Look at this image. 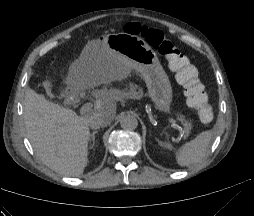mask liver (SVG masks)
<instances>
[{
  "label": "liver",
  "mask_w": 254,
  "mask_h": 216,
  "mask_svg": "<svg viewBox=\"0 0 254 216\" xmlns=\"http://www.w3.org/2000/svg\"><path fill=\"white\" fill-rule=\"evenodd\" d=\"M86 47L80 58L85 54ZM131 69L121 56H112L104 66L93 69H69L67 81L82 89L121 81L129 77ZM116 91L101 90L94 109L85 116L58 106L28 88L24 98V122L27 137L42 162L50 169L65 176H79L88 163L89 118L99 114L112 121L117 112Z\"/></svg>",
  "instance_id": "obj_1"
}]
</instances>
